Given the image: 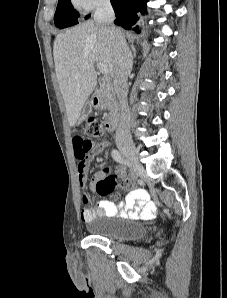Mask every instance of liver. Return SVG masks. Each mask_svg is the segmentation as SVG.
Masks as SVG:
<instances>
[{"label": "liver", "instance_id": "obj_1", "mask_svg": "<svg viewBox=\"0 0 227 298\" xmlns=\"http://www.w3.org/2000/svg\"><path fill=\"white\" fill-rule=\"evenodd\" d=\"M53 56L69 125L74 127L97 84L95 63L104 64L114 77L113 43L95 21L88 20L56 36Z\"/></svg>", "mask_w": 227, "mask_h": 298}]
</instances>
